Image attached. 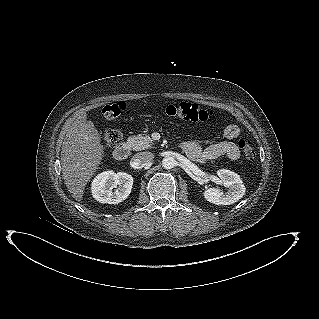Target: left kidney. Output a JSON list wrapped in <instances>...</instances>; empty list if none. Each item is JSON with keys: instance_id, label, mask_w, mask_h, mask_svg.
Here are the masks:
<instances>
[{"instance_id": "left-kidney-1", "label": "left kidney", "mask_w": 319, "mask_h": 319, "mask_svg": "<svg viewBox=\"0 0 319 319\" xmlns=\"http://www.w3.org/2000/svg\"><path fill=\"white\" fill-rule=\"evenodd\" d=\"M219 184L228 188L227 192H223L218 188H209L204 191V197L210 203L216 205H229L237 202L245 194V186L238 174L227 169L217 171Z\"/></svg>"}]
</instances>
